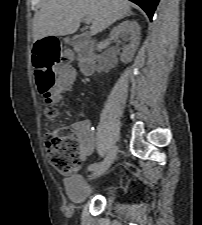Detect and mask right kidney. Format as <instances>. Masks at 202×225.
<instances>
[{
    "label": "right kidney",
    "instance_id": "1",
    "mask_svg": "<svg viewBox=\"0 0 202 225\" xmlns=\"http://www.w3.org/2000/svg\"><path fill=\"white\" fill-rule=\"evenodd\" d=\"M140 31L141 28L138 23L134 20L132 21H123L122 23L118 24L114 27L110 33L111 39H113L117 44H124L125 42H129V44H124L123 46V54H122V61L127 63L129 62L139 44H140ZM121 38L124 43L119 41Z\"/></svg>",
    "mask_w": 202,
    "mask_h": 225
}]
</instances>
